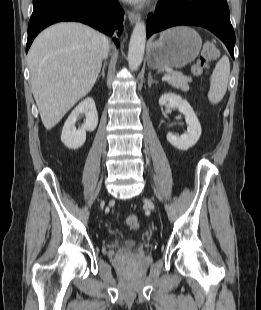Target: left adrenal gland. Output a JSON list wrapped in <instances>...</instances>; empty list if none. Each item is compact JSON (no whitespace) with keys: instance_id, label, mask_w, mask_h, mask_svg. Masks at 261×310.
Listing matches in <instances>:
<instances>
[{"instance_id":"obj_1","label":"left adrenal gland","mask_w":261,"mask_h":310,"mask_svg":"<svg viewBox=\"0 0 261 310\" xmlns=\"http://www.w3.org/2000/svg\"><path fill=\"white\" fill-rule=\"evenodd\" d=\"M155 83L157 84L158 82L153 80L152 76H151V73L148 74V86L151 87V85Z\"/></svg>"}]
</instances>
